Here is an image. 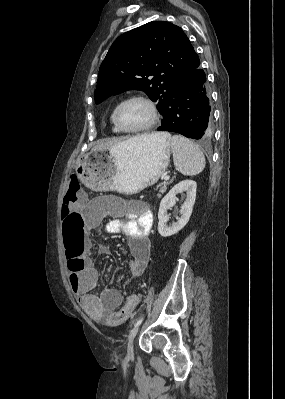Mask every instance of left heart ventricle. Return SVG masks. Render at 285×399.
<instances>
[{
	"label": "left heart ventricle",
	"instance_id": "1",
	"mask_svg": "<svg viewBox=\"0 0 285 399\" xmlns=\"http://www.w3.org/2000/svg\"><path fill=\"white\" fill-rule=\"evenodd\" d=\"M152 117L149 106L139 100L124 105L120 113V120L126 128H136L147 124Z\"/></svg>",
	"mask_w": 285,
	"mask_h": 399
}]
</instances>
